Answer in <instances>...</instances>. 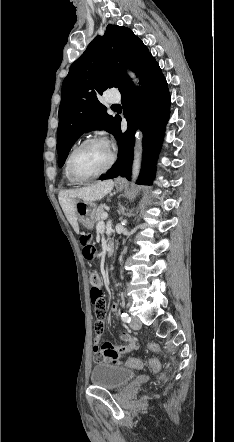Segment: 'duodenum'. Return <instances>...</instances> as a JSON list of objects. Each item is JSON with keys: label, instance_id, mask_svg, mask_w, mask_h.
<instances>
[{"label": "duodenum", "instance_id": "obj_1", "mask_svg": "<svg viewBox=\"0 0 234 442\" xmlns=\"http://www.w3.org/2000/svg\"><path fill=\"white\" fill-rule=\"evenodd\" d=\"M114 249H115V247L112 243L107 244V246L104 249V257H108V256L112 255L114 252Z\"/></svg>", "mask_w": 234, "mask_h": 442}]
</instances>
